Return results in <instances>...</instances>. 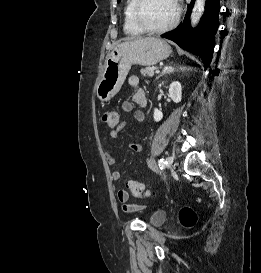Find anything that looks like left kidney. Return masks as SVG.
<instances>
[{
	"label": "left kidney",
	"instance_id": "5707ae66",
	"mask_svg": "<svg viewBox=\"0 0 261 273\" xmlns=\"http://www.w3.org/2000/svg\"><path fill=\"white\" fill-rule=\"evenodd\" d=\"M169 96L174 103H179L182 99V87L178 81L172 82L169 87ZM153 118L156 122H159L163 118V113L154 109Z\"/></svg>",
	"mask_w": 261,
	"mask_h": 273
}]
</instances>
